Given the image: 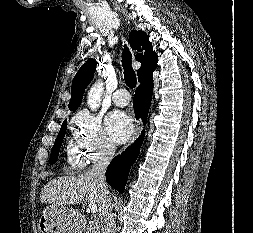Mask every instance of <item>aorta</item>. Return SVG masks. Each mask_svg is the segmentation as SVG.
Here are the masks:
<instances>
[{
	"label": "aorta",
	"mask_w": 253,
	"mask_h": 233,
	"mask_svg": "<svg viewBox=\"0 0 253 233\" xmlns=\"http://www.w3.org/2000/svg\"><path fill=\"white\" fill-rule=\"evenodd\" d=\"M103 91L104 88L101 81H98L90 88L87 96V104L92 111H95L97 108H99Z\"/></svg>",
	"instance_id": "1"
}]
</instances>
